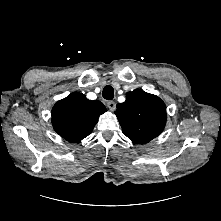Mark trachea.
Instances as JSON below:
<instances>
[{"mask_svg": "<svg viewBox=\"0 0 221 221\" xmlns=\"http://www.w3.org/2000/svg\"><path fill=\"white\" fill-rule=\"evenodd\" d=\"M103 98L106 100H112L114 98V89L110 85H106L102 92Z\"/></svg>", "mask_w": 221, "mask_h": 221, "instance_id": "3493384b", "label": "trachea"}]
</instances>
